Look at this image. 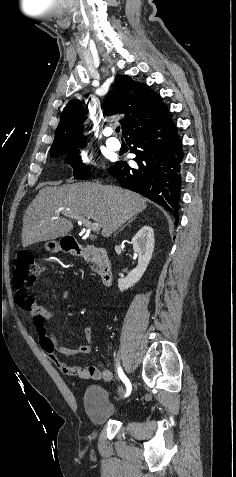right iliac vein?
<instances>
[{
	"instance_id": "63e3f726",
	"label": "right iliac vein",
	"mask_w": 236,
	"mask_h": 477,
	"mask_svg": "<svg viewBox=\"0 0 236 477\" xmlns=\"http://www.w3.org/2000/svg\"><path fill=\"white\" fill-rule=\"evenodd\" d=\"M119 391H120V396L124 397L125 396V389H126V386L125 385H122V384H119L117 386V388ZM120 396L118 398H115V402H119V399H120Z\"/></svg>"
}]
</instances>
